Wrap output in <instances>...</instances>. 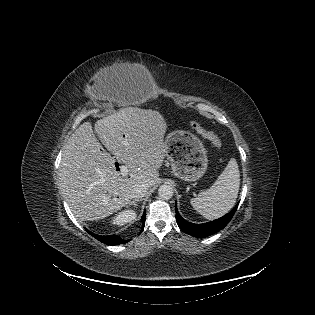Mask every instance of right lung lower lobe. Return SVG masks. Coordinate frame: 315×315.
Returning a JSON list of instances; mask_svg holds the SVG:
<instances>
[{
	"mask_svg": "<svg viewBox=\"0 0 315 315\" xmlns=\"http://www.w3.org/2000/svg\"><path fill=\"white\" fill-rule=\"evenodd\" d=\"M145 216H146V212L143 213L142 218H141L143 228L145 225ZM143 228H142V230H143ZM86 231L89 234H91L93 237H95L97 240H99L100 242L107 244V245L124 244V243H127L129 241V240H123L117 235L101 236V235L94 234V233L88 231L87 229H86Z\"/></svg>",
	"mask_w": 315,
	"mask_h": 315,
	"instance_id": "right-lung-lower-lobe-1",
	"label": "right lung lower lobe"
}]
</instances>
